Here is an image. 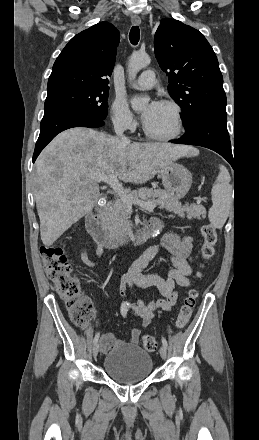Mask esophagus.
Wrapping results in <instances>:
<instances>
[{"label":"esophagus","instance_id":"34e87169","mask_svg":"<svg viewBox=\"0 0 259 440\" xmlns=\"http://www.w3.org/2000/svg\"><path fill=\"white\" fill-rule=\"evenodd\" d=\"M131 22H132L133 25L137 26V25L141 24V19H140V17L138 15H133L131 17Z\"/></svg>","mask_w":259,"mask_h":440}]
</instances>
